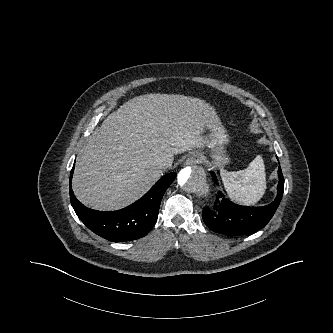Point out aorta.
Returning a JSON list of instances; mask_svg holds the SVG:
<instances>
[{
  "instance_id": "762f6f07",
  "label": "aorta",
  "mask_w": 333,
  "mask_h": 333,
  "mask_svg": "<svg viewBox=\"0 0 333 333\" xmlns=\"http://www.w3.org/2000/svg\"><path fill=\"white\" fill-rule=\"evenodd\" d=\"M177 184L181 190L193 197L207 200L211 187L206 172L199 166L185 167L177 175Z\"/></svg>"
}]
</instances>
